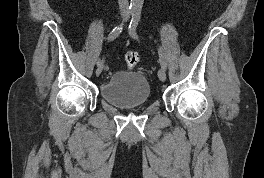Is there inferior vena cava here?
<instances>
[{
  "label": "inferior vena cava",
  "mask_w": 264,
  "mask_h": 178,
  "mask_svg": "<svg viewBox=\"0 0 264 178\" xmlns=\"http://www.w3.org/2000/svg\"><path fill=\"white\" fill-rule=\"evenodd\" d=\"M118 4L122 13L128 12V0H118Z\"/></svg>",
  "instance_id": "602c4592"
}]
</instances>
